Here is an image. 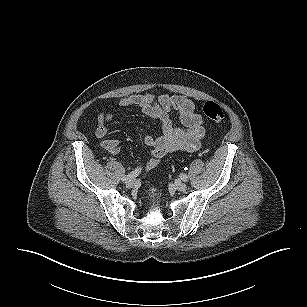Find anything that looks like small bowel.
Wrapping results in <instances>:
<instances>
[{"label":"small bowel","instance_id":"1","mask_svg":"<svg viewBox=\"0 0 307 307\" xmlns=\"http://www.w3.org/2000/svg\"><path fill=\"white\" fill-rule=\"evenodd\" d=\"M119 105L124 108L137 107L143 113L157 120L161 125L159 135H147L145 143L151 147V157L145 163V169L155 168L160 160L174 152H194L201 146L206 129L203 118L195 112L193 101L182 95L161 94L155 97L151 93L134 94L120 99ZM177 112L182 126L176 125L170 112ZM114 112H102L97 117L95 136L102 139L101 146L111 155L120 150V142L106 139L107 124L113 119Z\"/></svg>","mask_w":307,"mask_h":307}]
</instances>
